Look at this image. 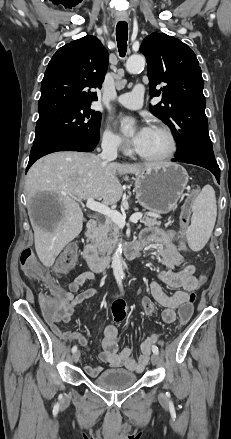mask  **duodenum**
<instances>
[{"instance_id": "410a0bca", "label": "duodenum", "mask_w": 231, "mask_h": 439, "mask_svg": "<svg viewBox=\"0 0 231 439\" xmlns=\"http://www.w3.org/2000/svg\"><path fill=\"white\" fill-rule=\"evenodd\" d=\"M98 228V222L95 219H90L87 222V236L88 238H92V236L95 234L96 230ZM142 243L141 241H134L129 244H126L122 247L123 253L126 258L128 259H135L139 256L141 249H142ZM83 256L85 260L87 261L89 267L94 272H101L103 271L110 263L111 260V254L105 253L100 254L98 249L95 247V245L89 241L83 251Z\"/></svg>"}]
</instances>
